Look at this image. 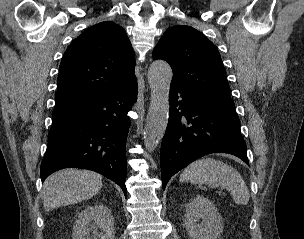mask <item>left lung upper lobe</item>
<instances>
[{
    "label": "left lung upper lobe",
    "mask_w": 304,
    "mask_h": 239,
    "mask_svg": "<svg viewBox=\"0 0 304 239\" xmlns=\"http://www.w3.org/2000/svg\"><path fill=\"white\" fill-rule=\"evenodd\" d=\"M153 57L170 64L171 86L208 102L235 107L221 56L198 30L190 26L168 28L154 48Z\"/></svg>",
    "instance_id": "1"
}]
</instances>
